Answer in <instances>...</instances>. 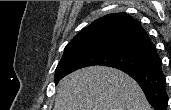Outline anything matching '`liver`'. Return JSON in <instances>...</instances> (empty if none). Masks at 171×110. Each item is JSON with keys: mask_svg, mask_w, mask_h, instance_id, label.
Here are the masks:
<instances>
[{"mask_svg": "<svg viewBox=\"0 0 171 110\" xmlns=\"http://www.w3.org/2000/svg\"><path fill=\"white\" fill-rule=\"evenodd\" d=\"M54 110H152L142 89L124 72L91 66L64 77Z\"/></svg>", "mask_w": 171, "mask_h": 110, "instance_id": "6515ba94", "label": "liver"}]
</instances>
